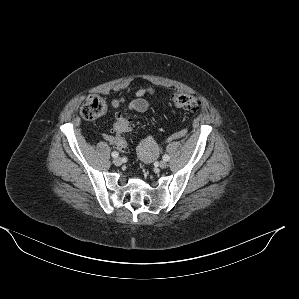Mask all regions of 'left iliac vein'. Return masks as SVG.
Here are the masks:
<instances>
[{
    "label": "left iliac vein",
    "instance_id": "obj_1",
    "mask_svg": "<svg viewBox=\"0 0 299 299\" xmlns=\"http://www.w3.org/2000/svg\"><path fill=\"white\" fill-rule=\"evenodd\" d=\"M159 167L162 168V169L166 168L167 167V162L164 161V160L160 161L159 162Z\"/></svg>",
    "mask_w": 299,
    "mask_h": 299
}]
</instances>
